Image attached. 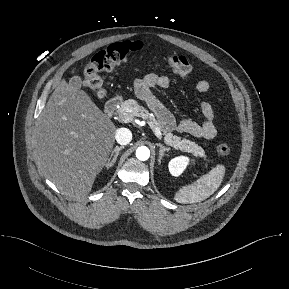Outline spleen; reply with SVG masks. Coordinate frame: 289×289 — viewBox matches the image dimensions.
<instances>
[{
    "label": "spleen",
    "mask_w": 289,
    "mask_h": 289,
    "mask_svg": "<svg viewBox=\"0 0 289 289\" xmlns=\"http://www.w3.org/2000/svg\"><path fill=\"white\" fill-rule=\"evenodd\" d=\"M225 175L224 165H217L193 184L182 187L174 199L179 203H198L211 196L221 185Z\"/></svg>",
    "instance_id": "spleen-1"
}]
</instances>
